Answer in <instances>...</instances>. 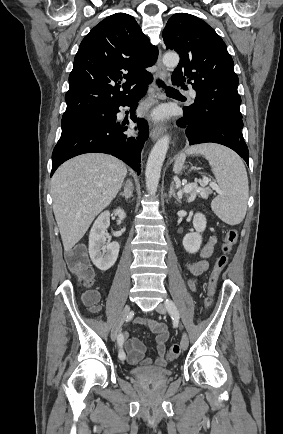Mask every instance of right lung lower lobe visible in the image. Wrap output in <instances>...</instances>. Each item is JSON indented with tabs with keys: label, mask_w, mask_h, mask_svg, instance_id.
Segmentation results:
<instances>
[{
	"label": "right lung lower lobe",
	"mask_w": 283,
	"mask_h": 434,
	"mask_svg": "<svg viewBox=\"0 0 283 434\" xmlns=\"http://www.w3.org/2000/svg\"><path fill=\"white\" fill-rule=\"evenodd\" d=\"M142 84L134 94L124 102L117 104L104 114L79 120L63 128L61 137L52 154V171L66 160L84 153L99 152L111 154L140 174V153L148 138V125L143 118L134 115L137 101L145 94L147 84ZM119 106H130L131 119L138 124V135L128 136L125 123L116 122Z\"/></svg>",
	"instance_id": "1"
}]
</instances>
